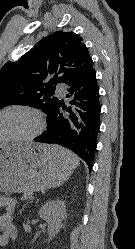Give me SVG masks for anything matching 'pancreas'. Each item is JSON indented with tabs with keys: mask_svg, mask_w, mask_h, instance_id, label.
Segmentation results:
<instances>
[{
	"mask_svg": "<svg viewBox=\"0 0 135 249\" xmlns=\"http://www.w3.org/2000/svg\"><path fill=\"white\" fill-rule=\"evenodd\" d=\"M32 198V192H25L21 197L22 200H27Z\"/></svg>",
	"mask_w": 135,
	"mask_h": 249,
	"instance_id": "cf45deb5",
	"label": "pancreas"
}]
</instances>
